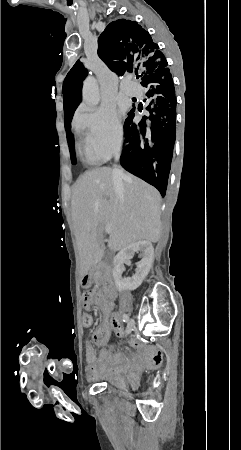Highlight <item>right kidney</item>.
<instances>
[{
  "label": "right kidney",
  "instance_id": "ca27d5eb",
  "mask_svg": "<svg viewBox=\"0 0 241 450\" xmlns=\"http://www.w3.org/2000/svg\"><path fill=\"white\" fill-rule=\"evenodd\" d=\"M136 252H140L139 258H142L141 262L137 264L136 274H133L132 278H122L125 270L124 264H127L128 260H131ZM153 258L154 248L149 240H141V242H135V244H130V246L123 248L115 256L113 262V278L118 292L139 288L144 278L148 276V272H150Z\"/></svg>",
  "mask_w": 241,
  "mask_h": 450
}]
</instances>
